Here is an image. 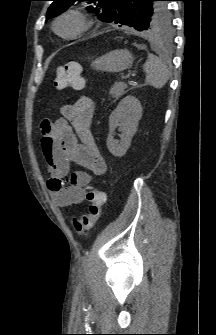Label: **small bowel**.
I'll return each instance as SVG.
<instances>
[{"mask_svg": "<svg viewBox=\"0 0 216 335\" xmlns=\"http://www.w3.org/2000/svg\"><path fill=\"white\" fill-rule=\"evenodd\" d=\"M94 108L93 100L81 95L73 104L60 108L61 118L53 122L44 120L40 124V147L49 173L47 188L59 207L83 202L86 187L94 177L106 172V163L91 131ZM71 162L91 173H70Z\"/></svg>", "mask_w": 216, "mask_h": 335, "instance_id": "1", "label": "small bowel"}]
</instances>
